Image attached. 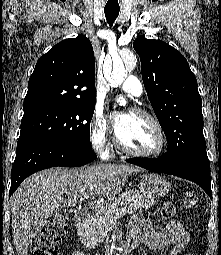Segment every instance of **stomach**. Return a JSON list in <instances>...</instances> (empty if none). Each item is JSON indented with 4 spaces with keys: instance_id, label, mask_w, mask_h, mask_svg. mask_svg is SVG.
<instances>
[{
    "instance_id": "1",
    "label": "stomach",
    "mask_w": 221,
    "mask_h": 255,
    "mask_svg": "<svg viewBox=\"0 0 221 255\" xmlns=\"http://www.w3.org/2000/svg\"><path fill=\"white\" fill-rule=\"evenodd\" d=\"M170 183L158 174H145L139 183V192L147 200L155 201L162 198L170 190Z\"/></svg>"
}]
</instances>
